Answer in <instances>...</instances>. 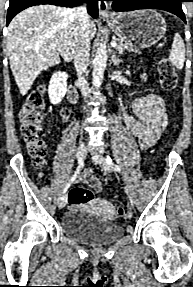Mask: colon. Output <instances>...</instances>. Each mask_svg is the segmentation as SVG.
<instances>
[{"label": "colon", "mask_w": 193, "mask_h": 287, "mask_svg": "<svg viewBox=\"0 0 193 287\" xmlns=\"http://www.w3.org/2000/svg\"><path fill=\"white\" fill-rule=\"evenodd\" d=\"M158 73L162 89L166 92H173L176 89L178 77L169 59L162 58L159 61ZM44 92V86L40 85L28 96L19 113L20 131L28 145L33 164L37 167L44 165L46 155V145L40 138L42 134L41 114L46 107ZM92 199L93 193L82 187H74L69 192V202L74 206L90 202ZM126 215L124 207H116V217L125 218Z\"/></svg>", "instance_id": "1"}]
</instances>
